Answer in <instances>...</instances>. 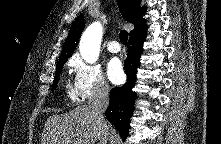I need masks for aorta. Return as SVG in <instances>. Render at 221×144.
Returning a JSON list of instances; mask_svg holds the SVG:
<instances>
[{"label":"aorta","instance_id":"aorta-1","mask_svg":"<svg viewBox=\"0 0 221 144\" xmlns=\"http://www.w3.org/2000/svg\"><path fill=\"white\" fill-rule=\"evenodd\" d=\"M103 29L99 22H93L82 34L79 50L85 62L93 64L98 60Z\"/></svg>","mask_w":221,"mask_h":144}]
</instances>
